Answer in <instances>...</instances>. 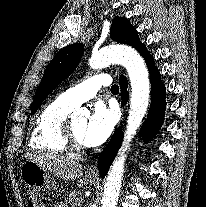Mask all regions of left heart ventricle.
<instances>
[{
  "label": "left heart ventricle",
  "instance_id": "1",
  "mask_svg": "<svg viewBox=\"0 0 206 207\" xmlns=\"http://www.w3.org/2000/svg\"><path fill=\"white\" fill-rule=\"evenodd\" d=\"M87 125L86 119H75L72 121V129L76 138L84 144L83 142V133Z\"/></svg>",
  "mask_w": 206,
  "mask_h": 207
}]
</instances>
